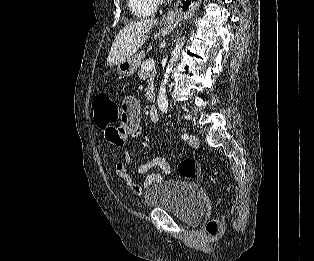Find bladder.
<instances>
[{"instance_id": "31cf9c89", "label": "bladder", "mask_w": 314, "mask_h": 261, "mask_svg": "<svg viewBox=\"0 0 314 261\" xmlns=\"http://www.w3.org/2000/svg\"><path fill=\"white\" fill-rule=\"evenodd\" d=\"M145 203L149 208L164 209L186 223H195L202 217L205 193L197 183L163 181L148 191Z\"/></svg>"}]
</instances>
